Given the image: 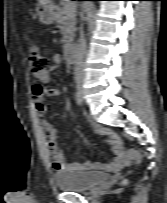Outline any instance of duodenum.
Segmentation results:
<instances>
[{
    "label": "duodenum",
    "mask_w": 167,
    "mask_h": 203,
    "mask_svg": "<svg viewBox=\"0 0 167 203\" xmlns=\"http://www.w3.org/2000/svg\"><path fill=\"white\" fill-rule=\"evenodd\" d=\"M65 59L68 63H74L76 60V48L74 45L67 46L65 50Z\"/></svg>",
    "instance_id": "obj_1"
}]
</instances>
